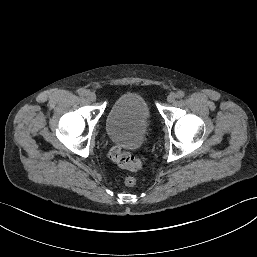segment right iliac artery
<instances>
[{
	"instance_id": "obj_1",
	"label": "right iliac artery",
	"mask_w": 257,
	"mask_h": 257,
	"mask_svg": "<svg viewBox=\"0 0 257 257\" xmlns=\"http://www.w3.org/2000/svg\"><path fill=\"white\" fill-rule=\"evenodd\" d=\"M86 90L85 89H83V88H81V89H79L78 90V94L80 95V96H85L86 95Z\"/></svg>"
}]
</instances>
